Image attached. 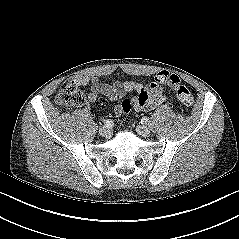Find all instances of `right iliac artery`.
<instances>
[{
	"mask_svg": "<svg viewBox=\"0 0 239 239\" xmlns=\"http://www.w3.org/2000/svg\"><path fill=\"white\" fill-rule=\"evenodd\" d=\"M104 125L109 128L113 126V122L110 120H104Z\"/></svg>",
	"mask_w": 239,
	"mask_h": 239,
	"instance_id": "obj_1",
	"label": "right iliac artery"
}]
</instances>
